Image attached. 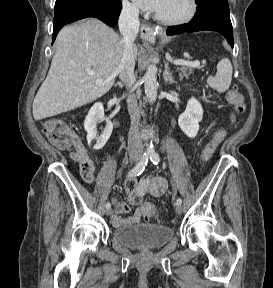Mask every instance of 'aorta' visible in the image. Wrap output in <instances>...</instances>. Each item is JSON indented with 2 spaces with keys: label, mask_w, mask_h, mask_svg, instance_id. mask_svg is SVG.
<instances>
[{
  "label": "aorta",
  "mask_w": 273,
  "mask_h": 288,
  "mask_svg": "<svg viewBox=\"0 0 273 288\" xmlns=\"http://www.w3.org/2000/svg\"><path fill=\"white\" fill-rule=\"evenodd\" d=\"M145 95L150 103H154L157 98V66L151 64L148 66L146 73L143 77ZM146 153L152 155L155 153L154 146L151 144L147 147Z\"/></svg>",
  "instance_id": "aorta-1"
}]
</instances>
